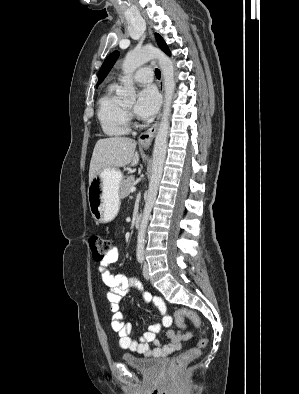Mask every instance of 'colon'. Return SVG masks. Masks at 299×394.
Wrapping results in <instances>:
<instances>
[{
    "mask_svg": "<svg viewBox=\"0 0 299 394\" xmlns=\"http://www.w3.org/2000/svg\"><path fill=\"white\" fill-rule=\"evenodd\" d=\"M89 246L91 249L92 256L95 260L101 261L108 254L111 248V241L101 233H93L89 237ZM176 321L178 323L183 322L184 318L190 319L196 326H200L201 319L193 311L187 309H181L176 312ZM208 345V339L201 337L196 346L191 347L187 351L175 356L168 365L170 372H176L177 370L184 367L192 360L198 358L201 354L202 349Z\"/></svg>",
    "mask_w": 299,
    "mask_h": 394,
    "instance_id": "5ec220e1",
    "label": "colon"
}]
</instances>
